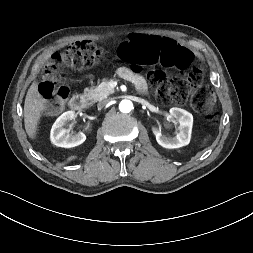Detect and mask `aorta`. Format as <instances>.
Returning <instances> with one entry per match:
<instances>
[{"instance_id": "aorta-1", "label": "aorta", "mask_w": 253, "mask_h": 253, "mask_svg": "<svg viewBox=\"0 0 253 253\" xmlns=\"http://www.w3.org/2000/svg\"><path fill=\"white\" fill-rule=\"evenodd\" d=\"M133 109V104L130 100H122L119 104V110L122 113H129Z\"/></svg>"}]
</instances>
